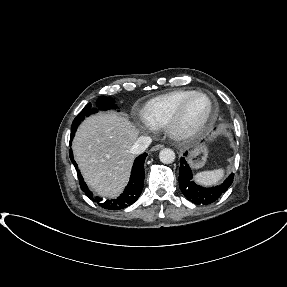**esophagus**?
Listing matches in <instances>:
<instances>
[{"label": "esophagus", "instance_id": "1", "mask_svg": "<svg viewBox=\"0 0 287 287\" xmlns=\"http://www.w3.org/2000/svg\"><path fill=\"white\" fill-rule=\"evenodd\" d=\"M164 147L163 144H157L151 148L152 151H158Z\"/></svg>", "mask_w": 287, "mask_h": 287}]
</instances>
